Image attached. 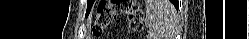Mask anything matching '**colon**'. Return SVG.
Masks as SVG:
<instances>
[{"mask_svg": "<svg viewBox=\"0 0 249 39\" xmlns=\"http://www.w3.org/2000/svg\"><path fill=\"white\" fill-rule=\"evenodd\" d=\"M127 14L129 28L132 32L140 31L142 24V8L136 0L101 1L97 6L92 34L100 37L104 31L116 20L117 16Z\"/></svg>", "mask_w": 249, "mask_h": 39, "instance_id": "obj_1", "label": "colon"}]
</instances>
